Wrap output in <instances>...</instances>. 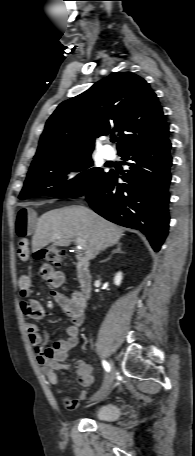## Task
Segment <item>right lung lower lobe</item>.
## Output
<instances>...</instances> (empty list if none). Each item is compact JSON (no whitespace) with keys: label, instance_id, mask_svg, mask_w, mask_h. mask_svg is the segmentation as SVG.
Segmentation results:
<instances>
[{"label":"right lung lower lobe","instance_id":"1","mask_svg":"<svg viewBox=\"0 0 195 456\" xmlns=\"http://www.w3.org/2000/svg\"><path fill=\"white\" fill-rule=\"evenodd\" d=\"M170 148L168 136L124 147L119 155L129 166L121 177L126 183L119 184L118 175L109 172L85 194L96 213L116 224L142 231L156 252L169 226Z\"/></svg>","mask_w":195,"mask_h":456}]
</instances>
